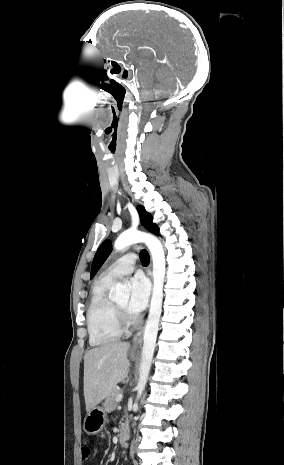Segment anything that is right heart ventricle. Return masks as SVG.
Returning <instances> with one entry per match:
<instances>
[{
    "instance_id": "right-heart-ventricle-1",
    "label": "right heart ventricle",
    "mask_w": 284,
    "mask_h": 465,
    "mask_svg": "<svg viewBox=\"0 0 284 465\" xmlns=\"http://www.w3.org/2000/svg\"><path fill=\"white\" fill-rule=\"evenodd\" d=\"M110 283L102 279L91 292L86 311L87 331L91 346H108L121 337V333L115 326L118 319L113 303L107 296Z\"/></svg>"
}]
</instances>
